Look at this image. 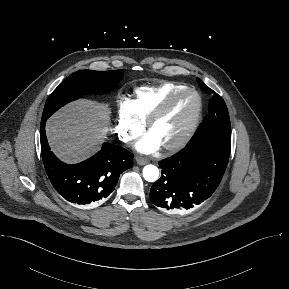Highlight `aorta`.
Here are the masks:
<instances>
[{"mask_svg": "<svg viewBox=\"0 0 289 289\" xmlns=\"http://www.w3.org/2000/svg\"><path fill=\"white\" fill-rule=\"evenodd\" d=\"M143 177L148 182H155L159 177V170L154 165H146L143 168Z\"/></svg>", "mask_w": 289, "mask_h": 289, "instance_id": "762f6f07", "label": "aorta"}]
</instances>
